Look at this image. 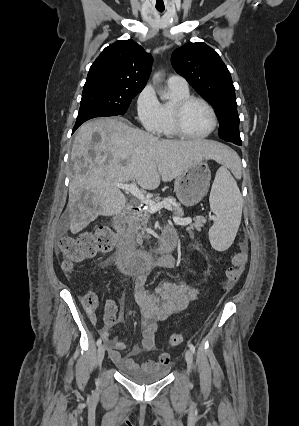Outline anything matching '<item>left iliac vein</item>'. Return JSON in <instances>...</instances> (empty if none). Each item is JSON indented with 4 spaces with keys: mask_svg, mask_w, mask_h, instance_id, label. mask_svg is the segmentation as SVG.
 I'll use <instances>...</instances> for the list:
<instances>
[{
    "mask_svg": "<svg viewBox=\"0 0 299 426\" xmlns=\"http://www.w3.org/2000/svg\"><path fill=\"white\" fill-rule=\"evenodd\" d=\"M185 360L187 362V373L189 375L191 368H192V364H193V354H192L191 350H186Z\"/></svg>",
    "mask_w": 299,
    "mask_h": 426,
    "instance_id": "4c4485c4",
    "label": "left iliac vein"
}]
</instances>
